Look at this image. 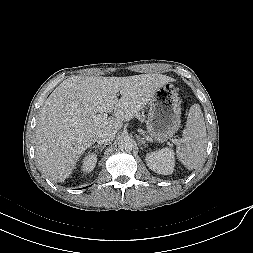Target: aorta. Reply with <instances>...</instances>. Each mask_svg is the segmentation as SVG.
<instances>
[{"instance_id":"762f6f07","label":"aorta","mask_w":253,"mask_h":253,"mask_svg":"<svg viewBox=\"0 0 253 253\" xmlns=\"http://www.w3.org/2000/svg\"><path fill=\"white\" fill-rule=\"evenodd\" d=\"M118 147L122 151H131L134 147L133 140L129 137H124L118 141Z\"/></svg>"}]
</instances>
